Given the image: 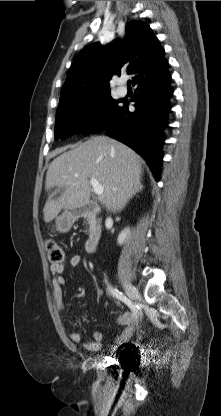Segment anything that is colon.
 Instances as JSON below:
<instances>
[{
  "instance_id": "colon-1",
  "label": "colon",
  "mask_w": 221,
  "mask_h": 416,
  "mask_svg": "<svg viewBox=\"0 0 221 416\" xmlns=\"http://www.w3.org/2000/svg\"><path fill=\"white\" fill-rule=\"evenodd\" d=\"M46 249L49 261L52 264H61L64 261L65 254L61 246L56 242L49 240L46 242Z\"/></svg>"
}]
</instances>
